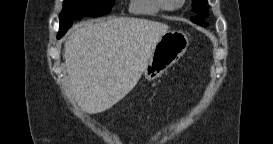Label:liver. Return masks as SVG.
I'll return each mask as SVG.
<instances>
[{
  "label": "liver",
  "instance_id": "obj_1",
  "mask_svg": "<svg viewBox=\"0 0 273 144\" xmlns=\"http://www.w3.org/2000/svg\"><path fill=\"white\" fill-rule=\"evenodd\" d=\"M169 26L118 17L77 25L64 45L71 91L81 109L104 112L138 83L153 50Z\"/></svg>",
  "mask_w": 273,
  "mask_h": 144
}]
</instances>
